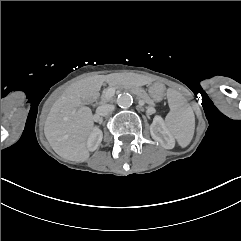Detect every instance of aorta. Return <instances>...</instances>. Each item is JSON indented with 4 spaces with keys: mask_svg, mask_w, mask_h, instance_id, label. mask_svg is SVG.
I'll return each mask as SVG.
<instances>
[{
    "mask_svg": "<svg viewBox=\"0 0 241 241\" xmlns=\"http://www.w3.org/2000/svg\"><path fill=\"white\" fill-rule=\"evenodd\" d=\"M116 102H117L119 107L128 108L132 105L133 98L130 94L123 93V94L118 95V98H117Z\"/></svg>",
    "mask_w": 241,
    "mask_h": 241,
    "instance_id": "obj_1",
    "label": "aorta"
}]
</instances>
